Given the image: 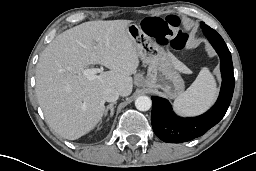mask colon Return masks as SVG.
<instances>
[{
	"instance_id": "obj_1",
	"label": "colon",
	"mask_w": 256,
	"mask_h": 171,
	"mask_svg": "<svg viewBox=\"0 0 256 171\" xmlns=\"http://www.w3.org/2000/svg\"><path fill=\"white\" fill-rule=\"evenodd\" d=\"M144 29L160 45L171 46L178 50L185 45L186 36L180 30V21L176 16L147 18Z\"/></svg>"
}]
</instances>
